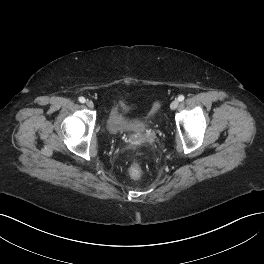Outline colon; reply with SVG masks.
I'll list each match as a JSON object with an SVG mask.
<instances>
[{
    "mask_svg": "<svg viewBox=\"0 0 264 264\" xmlns=\"http://www.w3.org/2000/svg\"><path fill=\"white\" fill-rule=\"evenodd\" d=\"M159 108H160V104L155 103L151 109V114H154L156 111H158ZM128 173L132 179H139L143 174V170L139 164L133 163L129 167Z\"/></svg>",
    "mask_w": 264,
    "mask_h": 264,
    "instance_id": "colon-1",
    "label": "colon"
}]
</instances>
